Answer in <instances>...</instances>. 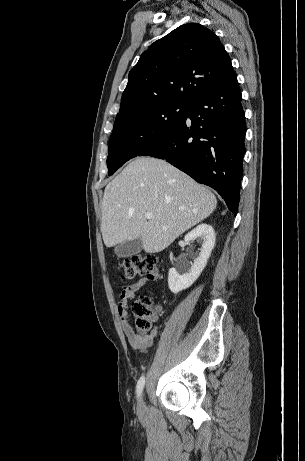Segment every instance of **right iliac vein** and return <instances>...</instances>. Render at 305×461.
Here are the masks:
<instances>
[{"label": "right iliac vein", "mask_w": 305, "mask_h": 461, "mask_svg": "<svg viewBox=\"0 0 305 461\" xmlns=\"http://www.w3.org/2000/svg\"><path fill=\"white\" fill-rule=\"evenodd\" d=\"M143 408V401L140 400V403H139V409L141 410Z\"/></svg>", "instance_id": "63e3f726"}]
</instances>
